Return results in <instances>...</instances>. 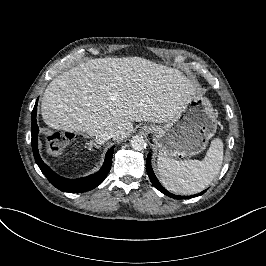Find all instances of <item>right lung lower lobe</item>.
I'll return each mask as SVG.
<instances>
[{
	"label": "right lung lower lobe",
	"instance_id": "right-lung-lower-lobe-1",
	"mask_svg": "<svg viewBox=\"0 0 266 266\" xmlns=\"http://www.w3.org/2000/svg\"><path fill=\"white\" fill-rule=\"evenodd\" d=\"M37 104H38V99L36 100L35 106L32 111L31 144L35 161L39 166V168L41 169L42 173L47 177V179L50 181V183L53 186H55L56 188H58L63 192H69V193L86 192L100 185L103 182V180L106 178L111 168L114 146L107 151L104 164L97 173L77 179H68L59 176L42 161L38 152L37 137L39 129L36 122Z\"/></svg>",
	"mask_w": 266,
	"mask_h": 266
}]
</instances>
